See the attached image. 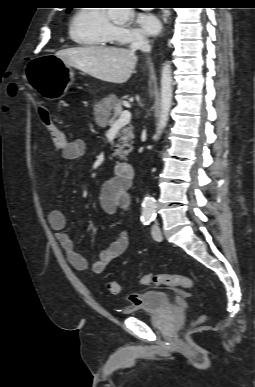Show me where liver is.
<instances>
[{
    "label": "liver",
    "instance_id": "obj_1",
    "mask_svg": "<svg viewBox=\"0 0 255 387\" xmlns=\"http://www.w3.org/2000/svg\"><path fill=\"white\" fill-rule=\"evenodd\" d=\"M55 56L70 67L115 84L127 82L137 63L133 50L120 47H76L58 51Z\"/></svg>",
    "mask_w": 255,
    "mask_h": 387
}]
</instances>
